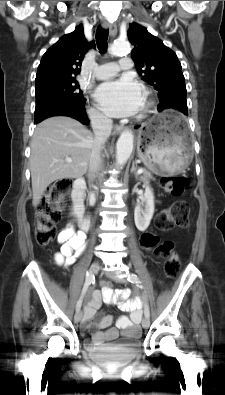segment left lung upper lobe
<instances>
[{
	"label": "left lung upper lobe",
	"mask_w": 225,
	"mask_h": 395,
	"mask_svg": "<svg viewBox=\"0 0 225 395\" xmlns=\"http://www.w3.org/2000/svg\"><path fill=\"white\" fill-rule=\"evenodd\" d=\"M128 39L134 45L136 69L158 91L159 105L176 104L188 115L185 78L176 53L137 23L130 24Z\"/></svg>",
	"instance_id": "1"
}]
</instances>
